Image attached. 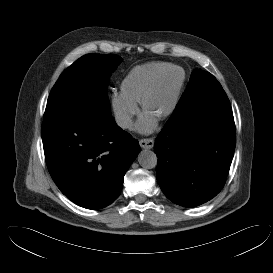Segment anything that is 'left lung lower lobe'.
<instances>
[{
	"mask_svg": "<svg viewBox=\"0 0 273 273\" xmlns=\"http://www.w3.org/2000/svg\"><path fill=\"white\" fill-rule=\"evenodd\" d=\"M212 82L202 85L213 88ZM236 143L235 123L225 92L195 96L175 111L155 141L157 181L173 203L196 207L223 188Z\"/></svg>",
	"mask_w": 273,
	"mask_h": 273,
	"instance_id": "left-lung-lower-lobe-1",
	"label": "left lung lower lobe"
}]
</instances>
